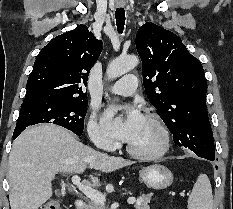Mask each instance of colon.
Here are the masks:
<instances>
[{"mask_svg": "<svg viewBox=\"0 0 233 209\" xmlns=\"http://www.w3.org/2000/svg\"><path fill=\"white\" fill-rule=\"evenodd\" d=\"M41 209H61V204L58 200H50Z\"/></svg>", "mask_w": 233, "mask_h": 209, "instance_id": "colon-1", "label": "colon"}]
</instances>
